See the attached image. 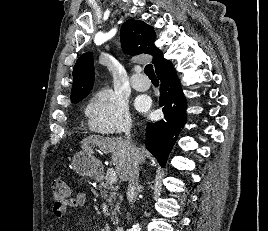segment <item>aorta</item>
Returning <instances> with one entry per match:
<instances>
[{
    "instance_id": "aorta-1",
    "label": "aorta",
    "mask_w": 268,
    "mask_h": 231,
    "mask_svg": "<svg viewBox=\"0 0 268 231\" xmlns=\"http://www.w3.org/2000/svg\"><path fill=\"white\" fill-rule=\"evenodd\" d=\"M132 231H140L139 224H135L132 228Z\"/></svg>"
}]
</instances>
